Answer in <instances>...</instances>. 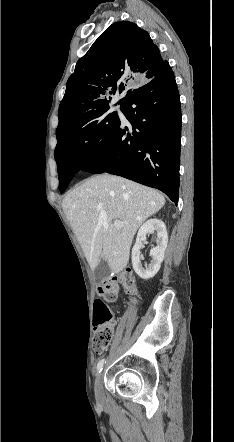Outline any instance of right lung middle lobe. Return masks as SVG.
<instances>
[{
	"instance_id": "dd1d6c3e",
	"label": "right lung middle lobe",
	"mask_w": 234,
	"mask_h": 442,
	"mask_svg": "<svg viewBox=\"0 0 234 442\" xmlns=\"http://www.w3.org/2000/svg\"><path fill=\"white\" fill-rule=\"evenodd\" d=\"M109 107L95 111L81 119L75 128L55 149L58 168L59 189L64 192L75 173L107 141L119 121L116 112ZM58 141V140H57Z\"/></svg>"
}]
</instances>
